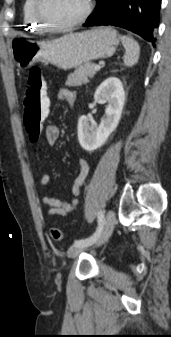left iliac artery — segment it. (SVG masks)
I'll list each match as a JSON object with an SVG mask.
<instances>
[{
    "label": "left iliac artery",
    "mask_w": 171,
    "mask_h": 337,
    "mask_svg": "<svg viewBox=\"0 0 171 337\" xmlns=\"http://www.w3.org/2000/svg\"><path fill=\"white\" fill-rule=\"evenodd\" d=\"M104 222H105L104 212L99 211L98 212V227L95 233L86 239L75 240L73 246L74 247L89 246V245L94 244L98 240L103 230Z\"/></svg>",
    "instance_id": "left-iliac-artery-1"
}]
</instances>
